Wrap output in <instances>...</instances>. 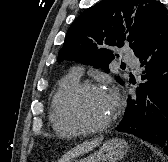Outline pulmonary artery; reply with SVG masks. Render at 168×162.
Here are the masks:
<instances>
[{
  "mask_svg": "<svg viewBox=\"0 0 168 162\" xmlns=\"http://www.w3.org/2000/svg\"><path fill=\"white\" fill-rule=\"evenodd\" d=\"M125 61L130 64L133 68L137 69L139 66V62L137 61V59H135L134 57L127 55L125 56ZM73 72L80 77L82 75V68L81 67H76L73 69Z\"/></svg>",
  "mask_w": 168,
  "mask_h": 162,
  "instance_id": "obj_1",
  "label": "pulmonary artery"
}]
</instances>
